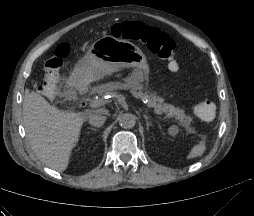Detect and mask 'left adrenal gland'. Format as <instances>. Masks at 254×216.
Segmentation results:
<instances>
[{
    "mask_svg": "<svg viewBox=\"0 0 254 216\" xmlns=\"http://www.w3.org/2000/svg\"><path fill=\"white\" fill-rule=\"evenodd\" d=\"M144 118L146 120V126H147V130H149V127H150V122H149V118L147 115H144Z\"/></svg>",
    "mask_w": 254,
    "mask_h": 216,
    "instance_id": "obj_1",
    "label": "left adrenal gland"
}]
</instances>
